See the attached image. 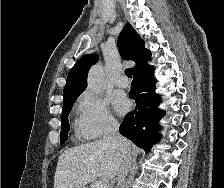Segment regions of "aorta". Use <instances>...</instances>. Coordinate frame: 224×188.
<instances>
[{
  "label": "aorta",
  "mask_w": 224,
  "mask_h": 188,
  "mask_svg": "<svg viewBox=\"0 0 224 188\" xmlns=\"http://www.w3.org/2000/svg\"><path fill=\"white\" fill-rule=\"evenodd\" d=\"M104 75V67L100 64L94 65L88 74V88L96 93H101L103 90Z\"/></svg>",
  "instance_id": "obj_1"
}]
</instances>
